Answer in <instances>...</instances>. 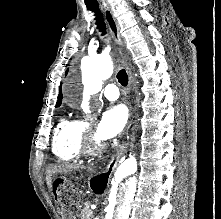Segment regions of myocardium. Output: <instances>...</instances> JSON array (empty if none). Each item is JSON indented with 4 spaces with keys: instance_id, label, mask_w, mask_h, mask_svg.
<instances>
[{
    "instance_id": "f54148a6",
    "label": "myocardium",
    "mask_w": 221,
    "mask_h": 219,
    "mask_svg": "<svg viewBox=\"0 0 221 219\" xmlns=\"http://www.w3.org/2000/svg\"><path fill=\"white\" fill-rule=\"evenodd\" d=\"M104 145L93 136L89 135L84 141V153L92 156L102 152Z\"/></svg>"
}]
</instances>
